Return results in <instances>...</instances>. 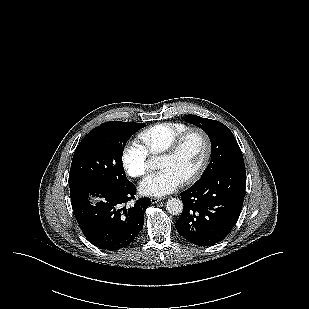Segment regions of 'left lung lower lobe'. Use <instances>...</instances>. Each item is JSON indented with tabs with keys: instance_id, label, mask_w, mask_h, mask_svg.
I'll use <instances>...</instances> for the list:
<instances>
[{
	"instance_id": "1",
	"label": "left lung lower lobe",
	"mask_w": 309,
	"mask_h": 309,
	"mask_svg": "<svg viewBox=\"0 0 309 309\" xmlns=\"http://www.w3.org/2000/svg\"><path fill=\"white\" fill-rule=\"evenodd\" d=\"M246 186L244 162L201 177L180 193L184 210L175 226L189 242L211 246L232 230L242 210Z\"/></svg>"
}]
</instances>
